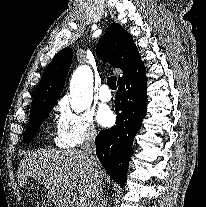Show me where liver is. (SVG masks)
Returning a JSON list of instances; mask_svg holds the SVG:
<instances>
[{
  "mask_svg": "<svg viewBox=\"0 0 206 207\" xmlns=\"http://www.w3.org/2000/svg\"><path fill=\"white\" fill-rule=\"evenodd\" d=\"M102 180L107 176L102 169ZM32 177L48 189L57 207H69L73 190L84 198H93V172L82 150H38L24 156L18 170V181L24 185Z\"/></svg>",
  "mask_w": 206,
  "mask_h": 207,
  "instance_id": "6515ba94",
  "label": "liver"
}]
</instances>
